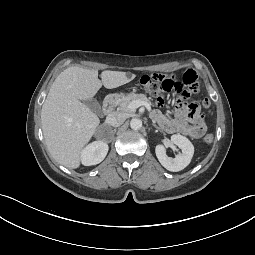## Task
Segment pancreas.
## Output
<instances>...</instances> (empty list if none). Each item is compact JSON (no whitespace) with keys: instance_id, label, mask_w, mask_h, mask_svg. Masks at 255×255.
<instances>
[{"instance_id":"obj_1","label":"pancreas","mask_w":255,"mask_h":255,"mask_svg":"<svg viewBox=\"0 0 255 255\" xmlns=\"http://www.w3.org/2000/svg\"><path fill=\"white\" fill-rule=\"evenodd\" d=\"M135 100L144 101L150 104V100L146 97V95L135 93H130L128 95L117 97L115 99V104L119 107L121 111L130 112L131 110L128 108V106L132 101Z\"/></svg>"}]
</instances>
